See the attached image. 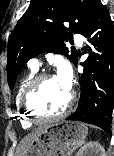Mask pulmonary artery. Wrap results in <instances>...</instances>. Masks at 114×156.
Returning a JSON list of instances; mask_svg holds the SVG:
<instances>
[{"mask_svg": "<svg viewBox=\"0 0 114 156\" xmlns=\"http://www.w3.org/2000/svg\"><path fill=\"white\" fill-rule=\"evenodd\" d=\"M74 40L75 42L79 45V46H82V43H83V39L80 35L76 34L74 35ZM29 66L33 69H38L39 66H40V61L39 59L37 58H33L29 61Z\"/></svg>", "mask_w": 114, "mask_h": 156, "instance_id": "e3ab8cb5", "label": "pulmonary artery"}]
</instances>
